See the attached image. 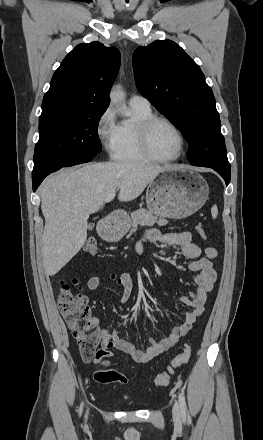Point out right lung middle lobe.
<instances>
[{"mask_svg": "<svg viewBox=\"0 0 263 440\" xmlns=\"http://www.w3.org/2000/svg\"><path fill=\"white\" fill-rule=\"evenodd\" d=\"M105 109L53 111L39 118L32 180L58 168L83 163L86 154L101 151L97 128Z\"/></svg>", "mask_w": 263, "mask_h": 440, "instance_id": "right-lung-middle-lobe-1", "label": "right lung middle lobe"}]
</instances>
